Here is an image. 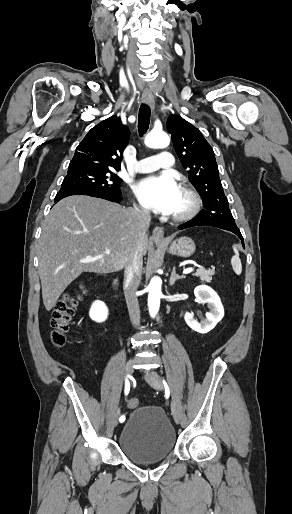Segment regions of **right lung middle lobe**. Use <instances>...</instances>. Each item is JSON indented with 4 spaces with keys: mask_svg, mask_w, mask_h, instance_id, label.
Returning a JSON list of instances; mask_svg holds the SVG:
<instances>
[{
    "mask_svg": "<svg viewBox=\"0 0 292 514\" xmlns=\"http://www.w3.org/2000/svg\"><path fill=\"white\" fill-rule=\"evenodd\" d=\"M122 179L115 172H68L59 192L86 190L105 193L120 192Z\"/></svg>",
    "mask_w": 292,
    "mask_h": 514,
    "instance_id": "dd1d6c3e",
    "label": "right lung middle lobe"
}]
</instances>
